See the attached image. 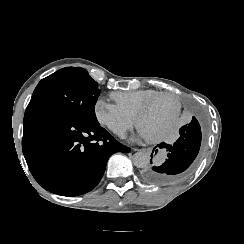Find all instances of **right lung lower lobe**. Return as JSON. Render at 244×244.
I'll return each mask as SVG.
<instances>
[{"label": "right lung lower lobe", "instance_id": "obj_1", "mask_svg": "<svg viewBox=\"0 0 244 244\" xmlns=\"http://www.w3.org/2000/svg\"><path fill=\"white\" fill-rule=\"evenodd\" d=\"M22 149L35 180L63 196L91 191L101 180L109 157L130 151L98 121L86 122L46 109L26 110Z\"/></svg>", "mask_w": 244, "mask_h": 244}]
</instances>
